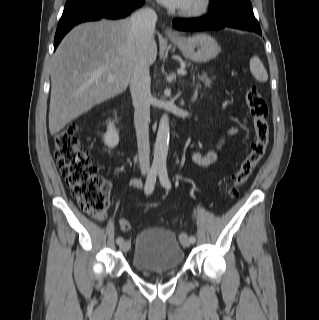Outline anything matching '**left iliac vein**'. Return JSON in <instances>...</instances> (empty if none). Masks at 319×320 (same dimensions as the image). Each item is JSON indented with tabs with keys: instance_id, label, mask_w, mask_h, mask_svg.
Returning <instances> with one entry per match:
<instances>
[{
	"instance_id": "4c4485c4",
	"label": "left iliac vein",
	"mask_w": 319,
	"mask_h": 320,
	"mask_svg": "<svg viewBox=\"0 0 319 320\" xmlns=\"http://www.w3.org/2000/svg\"><path fill=\"white\" fill-rule=\"evenodd\" d=\"M180 241H181V243H182V245L184 246V247H189L190 246V242H189V239H188V236L186 235V234H184V235H182L181 237H180Z\"/></svg>"
}]
</instances>
